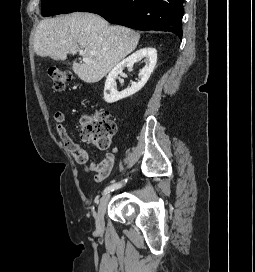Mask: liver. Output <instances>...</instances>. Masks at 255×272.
<instances>
[{"mask_svg": "<svg viewBox=\"0 0 255 272\" xmlns=\"http://www.w3.org/2000/svg\"><path fill=\"white\" fill-rule=\"evenodd\" d=\"M139 33L114 25L93 13L74 12L47 18L38 24L34 50L40 57L65 60L79 49L89 62H73L72 69L86 83L100 81L138 45Z\"/></svg>", "mask_w": 255, "mask_h": 272, "instance_id": "obj_1", "label": "liver"}]
</instances>
